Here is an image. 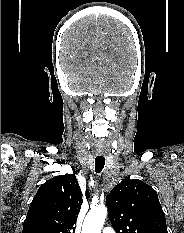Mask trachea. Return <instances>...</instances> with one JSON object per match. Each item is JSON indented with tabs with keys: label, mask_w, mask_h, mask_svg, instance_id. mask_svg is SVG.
Returning a JSON list of instances; mask_svg holds the SVG:
<instances>
[{
	"label": "trachea",
	"mask_w": 184,
	"mask_h": 233,
	"mask_svg": "<svg viewBox=\"0 0 184 233\" xmlns=\"http://www.w3.org/2000/svg\"><path fill=\"white\" fill-rule=\"evenodd\" d=\"M105 165V157L103 155H98L95 158V170L96 173H100Z\"/></svg>",
	"instance_id": "1"
}]
</instances>
